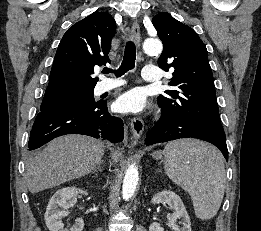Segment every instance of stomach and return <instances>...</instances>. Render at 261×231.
<instances>
[{
  "label": "stomach",
  "mask_w": 261,
  "mask_h": 231,
  "mask_svg": "<svg viewBox=\"0 0 261 231\" xmlns=\"http://www.w3.org/2000/svg\"><path fill=\"white\" fill-rule=\"evenodd\" d=\"M163 155H164V153L161 151H156L152 154L153 158L156 160L162 159Z\"/></svg>",
  "instance_id": "1"
}]
</instances>
